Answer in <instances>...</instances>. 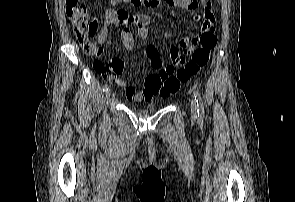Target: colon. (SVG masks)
I'll return each mask as SVG.
<instances>
[{"mask_svg": "<svg viewBox=\"0 0 295 202\" xmlns=\"http://www.w3.org/2000/svg\"><path fill=\"white\" fill-rule=\"evenodd\" d=\"M118 2H129L134 6L155 7L160 0H117ZM171 1V0H166ZM67 15L76 38L83 44L92 43L98 31L96 20L90 17L84 6L77 5V0H67ZM119 16L129 23H135L136 18L127 16L124 10H120ZM196 42L198 46L191 52L188 61L181 56L179 60L158 74H151L144 83L145 90H151L154 94L159 93L163 97H171L181 87L188 84L192 77L196 76L209 62L210 52L216 47L217 37L213 24L203 27ZM111 63V62H109ZM103 69V68H102Z\"/></svg>", "mask_w": 295, "mask_h": 202, "instance_id": "obj_1", "label": "colon"}]
</instances>
